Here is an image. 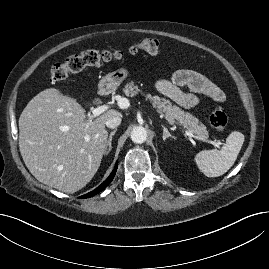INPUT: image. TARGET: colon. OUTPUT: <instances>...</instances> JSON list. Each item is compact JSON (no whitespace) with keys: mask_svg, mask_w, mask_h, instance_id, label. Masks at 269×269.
Segmentation results:
<instances>
[{"mask_svg":"<svg viewBox=\"0 0 269 269\" xmlns=\"http://www.w3.org/2000/svg\"><path fill=\"white\" fill-rule=\"evenodd\" d=\"M159 50L160 44L157 39L144 38L131 44L127 53L133 55L141 52L156 54ZM125 54L126 52L122 50H84L68 57L64 62L54 65L50 71V79L52 82H60L69 75L79 73L87 67L121 60ZM227 120V115L220 108L213 109L209 115V123L217 132H222L225 129Z\"/></svg>","mask_w":269,"mask_h":269,"instance_id":"1","label":"colon"}]
</instances>
